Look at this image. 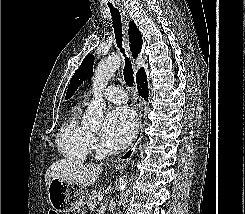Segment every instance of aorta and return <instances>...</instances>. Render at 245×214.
<instances>
[{
    "mask_svg": "<svg viewBox=\"0 0 245 214\" xmlns=\"http://www.w3.org/2000/svg\"><path fill=\"white\" fill-rule=\"evenodd\" d=\"M121 66V58L118 55L110 56L101 61L95 69L92 77V87L94 92V99L88 106L84 116L83 123L91 128H99L104 117V109L106 104L102 99V91L107 86L108 81L115 74ZM127 180L125 176L119 181V189L125 188Z\"/></svg>",
    "mask_w": 245,
    "mask_h": 214,
    "instance_id": "aorta-1",
    "label": "aorta"
}]
</instances>
